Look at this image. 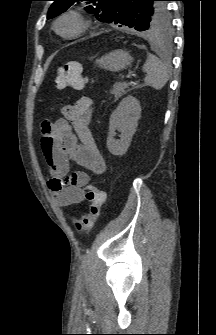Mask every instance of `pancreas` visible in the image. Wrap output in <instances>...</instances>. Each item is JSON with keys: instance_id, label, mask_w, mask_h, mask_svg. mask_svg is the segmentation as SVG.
I'll return each mask as SVG.
<instances>
[{"instance_id": "pancreas-1", "label": "pancreas", "mask_w": 216, "mask_h": 335, "mask_svg": "<svg viewBox=\"0 0 216 335\" xmlns=\"http://www.w3.org/2000/svg\"><path fill=\"white\" fill-rule=\"evenodd\" d=\"M129 85L133 86L134 88H138L140 87L137 83H126V82H117L113 85L112 90L110 91V93L114 96L115 100L117 101L119 98H121L123 95H125L129 90H127L129 88Z\"/></svg>"}]
</instances>
